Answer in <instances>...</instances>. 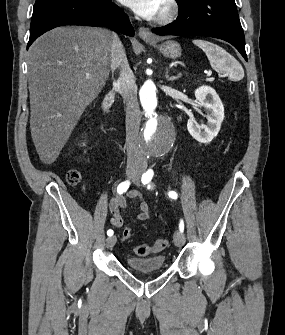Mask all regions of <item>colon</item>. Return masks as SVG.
Segmentation results:
<instances>
[{
    "instance_id": "colon-1",
    "label": "colon",
    "mask_w": 285,
    "mask_h": 335,
    "mask_svg": "<svg viewBox=\"0 0 285 335\" xmlns=\"http://www.w3.org/2000/svg\"><path fill=\"white\" fill-rule=\"evenodd\" d=\"M68 183L71 185H76L80 182V173L77 170H70L66 175ZM132 237V230L130 228H125L123 230L122 239L124 241L130 240ZM168 246V241L166 239H158L154 243L147 245L141 244L134 248V253L137 256H146L150 253H158L164 250Z\"/></svg>"
}]
</instances>
